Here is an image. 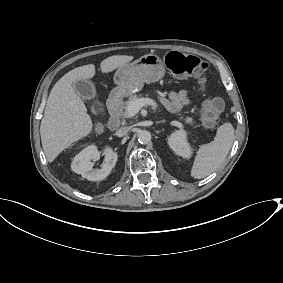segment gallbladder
Listing matches in <instances>:
<instances>
[{
	"mask_svg": "<svg viewBox=\"0 0 283 283\" xmlns=\"http://www.w3.org/2000/svg\"><path fill=\"white\" fill-rule=\"evenodd\" d=\"M75 91L82 97H87L88 99H96L97 98V90L93 89V85L89 81H77L74 84Z\"/></svg>",
	"mask_w": 283,
	"mask_h": 283,
	"instance_id": "1",
	"label": "gallbladder"
}]
</instances>
